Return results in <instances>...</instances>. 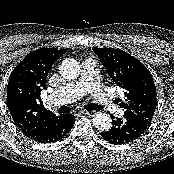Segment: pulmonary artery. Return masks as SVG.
<instances>
[{
  "label": "pulmonary artery",
  "mask_w": 174,
  "mask_h": 174,
  "mask_svg": "<svg viewBox=\"0 0 174 174\" xmlns=\"http://www.w3.org/2000/svg\"><path fill=\"white\" fill-rule=\"evenodd\" d=\"M96 62L91 58L87 59L82 65L81 77L78 81L71 82L60 87L49 100L55 105H62L76 101L87 93H90L97 103L104 105L108 111L114 114H122V110L113 103L107 89H103L100 83Z\"/></svg>",
  "instance_id": "e3ab8cb5"
}]
</instances>
